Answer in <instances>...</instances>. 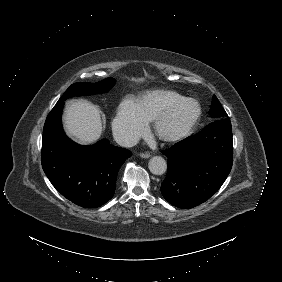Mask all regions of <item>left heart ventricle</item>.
I'll use <instances>...</instances> for the list:
<instances>
[{"label": "left heart ventricle", "mask_w": 282, "mask_h": 282, "mask_svg": "<svg viewBox=\"0 0 282 282\" xmlns=\"http://www.w3.org/2000/svg\"><path fill=\"white\" fill-rule=\"evenodd\" d=\"M198 112V107L194 102H188L176 110L166 121L164 129L173 132L193 118Z\"/></svg>", "instance_id": "left-heart-ventricle-1"}]
</instances>
